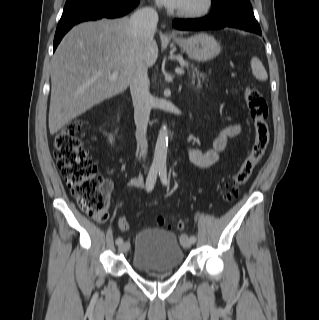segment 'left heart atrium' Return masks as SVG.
<instances>
[{
    "instance_id": "left-heart-atrium-1",
    "label": "left heart atrium",
    "mask_w": 319,
    "mask_h": 320,
    "mask_svg": "<svg viewBox=\"0 0 319 320\" xmlns=\"http://www.w3.org/2000/svg\"><path fill=\"white\" fill-rule=\"evenodd\" d=\"M164 5L171 9H182L188 0H160Z\"/></svg>"
}]
</instances>
